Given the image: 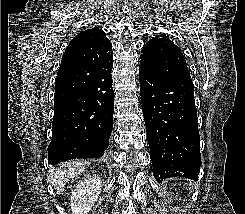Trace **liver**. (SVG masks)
<instances>
[{
    "instance_id": "obj_1",
    "label": "liver",
    "mask_w": 245,
    "mask_h": 214,
    "mask_svg": "<svg viewBox=\"0 0 245 214\" xmlns=\"http://www.w3.org/2000/svg\"><path fill=\"white\" fill-rule=\"evenodd\" d=\"M90 166L89 161H68L56 166L50 173L49 181L56 190L57 194H61L69 179L80 175L86 168Z\"/></svg>"
}]
</instances>
